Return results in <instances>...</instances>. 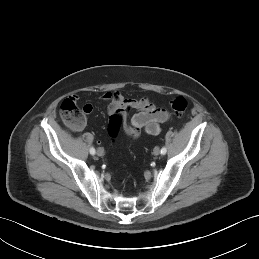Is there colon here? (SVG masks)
Masks as SVG:
<instances>
[{
  "label": "colon",
  "mask_w": 259,
  "mask_h": 259,
  "mask_svg": "<svg viewBox=\"0 0 259 259\" xmlns=\"http://www.w3.org/2000/svg\"><path fill=\"white\" fill-rule=\"evenodd\" d=\"M188 107V102L183 96H177L170 102L172 112L177 115H183ZM60 117L62 121L72 129H80L85 124L84 106L81 108L77 105L75 98L68 97L60 104ZM124 116L116 112L110 116L107 132L111 141H115L119 135Z\"/></svg>",
  "instance_id": "obj_1"
}]
</instances>
